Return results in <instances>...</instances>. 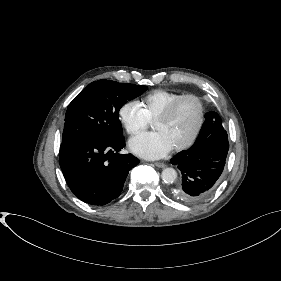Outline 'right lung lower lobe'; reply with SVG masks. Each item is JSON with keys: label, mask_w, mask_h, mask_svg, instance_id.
I'll use <instances>...</instances> for the list:
<instances>
[{"label": "right lung lower lobe", "mask_w": 281, "mask_h": 281, "mask_svg": "<svg viewBox=\"0 0 281 281\" xmlns=\"http://www.w3.org/2000/svg\"><path fill=\"white\" fill-rule=\"evenodd\" d=\"M124 137L107 141H81L60 150V166L77 198L105 205L117 198L129 171L139 163L132 154H120Z\"/></svg>", "instance_id": "1"}]
</instances>
